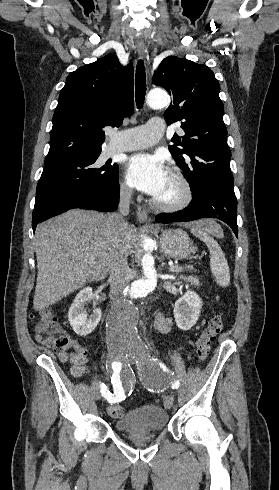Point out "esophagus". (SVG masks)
I'll return each instance as SVG.
<instances>
[{
    "label": "esophagus",
    "mask_w": 279,
    "mask_h": 490,
    "mask_svg": "<svg viewBox=\"0 0 279 490\" xmlns=\"http://www.w3.org/2000/svg\"><path fill=\"white\" fill-rule=\"evenodd\" d=\"M138 55L140 58H145V46L144 45H136ZM137 215L140 222H144L147 219V211L144 206L137 207Z\"/></svg>",
    "instance_id": "obj_1"
}]
</instances>
